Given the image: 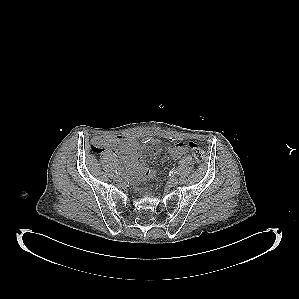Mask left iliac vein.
<instances>
[{
  "label": "left iliac vein",
  "mask_w": 299,
  "mask_h": 299,
  "mask_svg": "<svg viewBox=\"0 0 299 299\" xmlns=\"http://www.w3.org/2000/svg\"><path fill=\"white\" fill-rule=\"evenodd\" d=\"M179 182V179L177 177H172L170 180H169V185L170 186H176Z\"/></svg>",
  "instance_id": "1"
}]
</instances>
